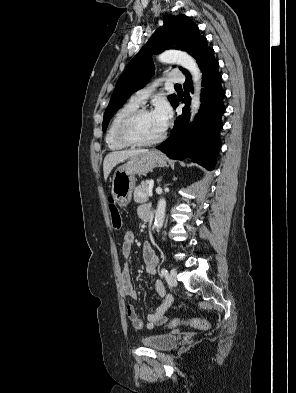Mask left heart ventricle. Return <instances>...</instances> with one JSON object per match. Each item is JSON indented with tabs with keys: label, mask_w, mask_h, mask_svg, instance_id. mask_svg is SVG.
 Returning <instances> with one entry per match:
<instances>
[{
	"label": "left heart ventricle",
	"mask_w": 296,
	"mask_h": 393,
	"mask_svg": "<svg viewBox=\"0 0 296 393\" xmlns=\"http://www.w3.org/2000/svg\"><path fill=\"white\" fill-rule=\"evenodd\" d=\"M158 122L152 112L142 115L132 128L133 138L140 141H148L162 133Z\"/></svg>",
	"instance_id": "1"
}]
</instances>
